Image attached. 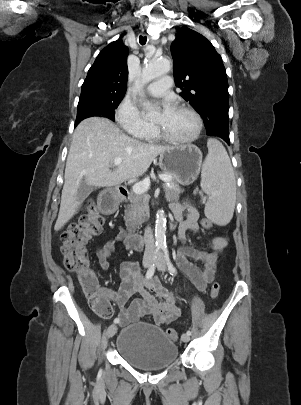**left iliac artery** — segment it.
Masks as SVG:
<instances>
[{
  "label": "left iliac artery",
  "instance_id": "left-iliac-artery-1",
  "mask_svg": "<svg viewBox=\"0 0 301 405\" xmlns=\"http://www.w3.org/2000/svg\"><path fill=\"white\" fill-rule=\"evenodd\" d=\"M162 250H163L164 258H165V261H166V264H167V266H168V269H169L170 274L176 275V274H177V270H176V268L173 266L172 262L170 261V257H169V253H168L167 247H166V246H165V247H162ZM187 334H188V335H191V331L188 330V331H187Z\"/></svg>",
  "mask_w": 301,
  "mask_h": 405
}]
</instances>
